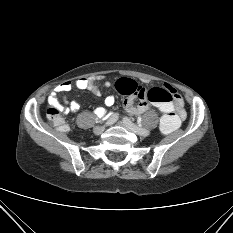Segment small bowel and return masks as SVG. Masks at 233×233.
<instances>
[{
	"label": "small bowel",
	"mask_w": 233,
	"mask_h": 233,
	"mask_svg": "<svg viewBox=\"0 0 233 233\" xmlns=\"http://www.w3.org/2000/svg\"><path fill=\"white\" fill-rule=\"evenodd\" d=\"M99 79H100L99 77H89V78L83 77V78L77 79L74 83H72L71 81L63 82V83L57 85L53 89V91L50 93V95L48 97V102L52 106L60 107L58 102H57L58 94L66 93V92L70 91L73 86H75L77 89H81V90L87 89L90 92H92L94 95H100V90H99V87L97 85V81ZM109 85H110V83L107 82L106 86L108 87ZM163 88L171 91V93L173 94V109L179 114L181 119H184L186 116V113L184 110V101H183L181 95L176 91V89L174 87H172L169 84H165L163 86ZM104 102H105L106 106L111 107L115 103V98H114V96H107L105 98ZM123 104H124L125 109L131 114H141V113L145 112L149 107V103L146 101H141L138 104H135L133 97L126 98L124 100ZM79 108H80L79 101L74 100L69 104V107L65 108L64 110L66 112L75 113L77 110H79ZM94 114L100 118H106V117L111 116L107 112V110L103 107L95 108Z\"/></svg>",
	"instance_id": "1"
}]
</instances>
